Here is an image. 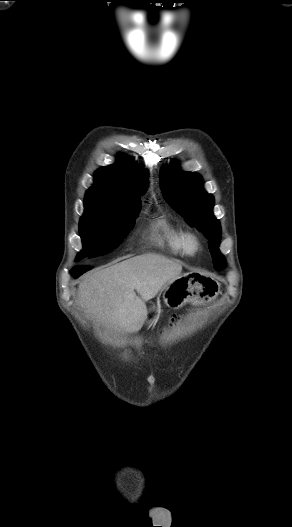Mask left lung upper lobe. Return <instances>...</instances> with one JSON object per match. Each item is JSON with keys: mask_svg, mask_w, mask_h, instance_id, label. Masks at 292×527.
Masks as SVG:
<instances>
[{"mask_svg": "<svg viewBox=\"0 0 292 527\" xmlns=\"http://www.w3.org/2000/svg\"><path fill=\"white\" fill-rule=\"evenodd\" d=\"M202 185L198 174L182 172L177 166L171 169L166 167L160 180L164 199L209 239L214 266L222 268L224 258L218 248L220 224L212 213L214 198L203 190Z\"/></svg>", "mask_w": 292, "mask_h": 527, "instance_id": "obj_1", "label": "left lung upper lobe"}]
</instances>
